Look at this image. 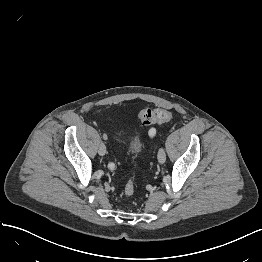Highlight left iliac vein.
Returning a JSON list of instances; mask_svg holds the SVG:
<instances>
[{
  "instance_id": "4c4485c4",
  "label": "left iliac vein",
  "mask_w": 262,
  "mask_h": 262,
  "mask_svg": "<svg viewBox=\"0 0 262 262\" xmlns=\"http://www.w3.org/2000/svg\"><path fill=\"white\" fill-rule=\"evenodd\" d=\"M158 161L160 164H163L166 161V152L162 147L158 150Z\"/></svg>"
}]
</instances>
